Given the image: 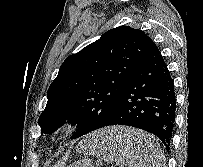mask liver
<instances>
[{
	"label": "liver",
	"mask_w": 203,
	"mask_h": 167,
	"mask_svg": "<svg viewBox=\"0 0 203 167\" xmlns=\"http://www.w3.org/2000/svg\"><path fill=\"white\" fill-rule=\"evenodd\" d=\"M107 134H102L104 137H111L117 140L124 141L127 144V149L132 152L138 151V147H140L144 140L150 137L145 132L133 128H125V127H114L108 128L106 131ZM137 149V150H136ZM65 162H60L56 164L55 167H64Z\"/></svg>",
	"instance_id": "1"
}]
</instances>
